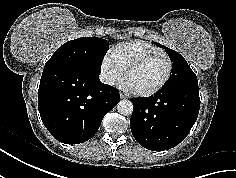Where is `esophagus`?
<instances>
[{
    "instance_id": "obj_1",
    "label": "esophagus",
    "mask_w": 236,
    "mask_h": 178,
    "mask_svg": "<svg viewBox=\"0 0 236 178\" xmlns=\"http://www.w3.org/2000/svg\"><path fill=\"white\" fill-rule=\"evenodd\" d=\"M119 95H120V98H121V99H124V98H126V96H125L123 93H121V92H120V94H119Z\"/></svg>"
}]
</instances>
